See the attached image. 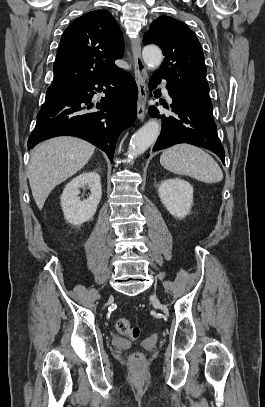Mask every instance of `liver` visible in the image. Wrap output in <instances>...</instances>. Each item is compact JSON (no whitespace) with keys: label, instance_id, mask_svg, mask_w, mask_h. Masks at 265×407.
<instances>
[{"label":"liver","instance_id":"liver-1","mask_svg":"<svg viewBox=\"0 0 265 407\" xmlns=\"http://www.w3.org/2000/svg\"><path fill=\"white\" fill-rule=\"evenodd\" d=\"M94 150L87 141L70 136L49 139L32 150L28 180L40 210L51 191L82 169Z\"/></svg>","mask_w":265,"mask_h":407}]
</instances>
